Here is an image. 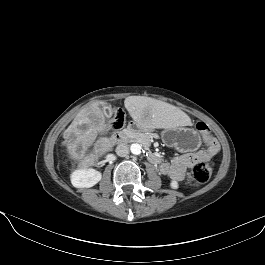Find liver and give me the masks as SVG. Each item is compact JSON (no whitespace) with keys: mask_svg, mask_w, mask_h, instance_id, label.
Returning <instances> with one entry per match:
<instances>
[{"mask_svg":"<svg viewBox=\"0 0 265 265\" xmlns=\"http://www.w3.org/2000/svg\"><path fill=\"white\" fill-rule=\"evenodd\" d=\"M100 105H105V102L96 101L83 107L64 132L62 145L66 146L70 158L78 161L81 169L93 166L99 157L112 149L111 141L105 137L94 144L98 134L107 131ZM124 105L132 119L144 128L167 129L192 125L190 117L178 107L154 98L128 96ZM93 144V151L85 155Z\"/></svg>","mask_w":265,"mask_h":265,"instance_id":"obj_1","label":"liver"}]
</instances>
